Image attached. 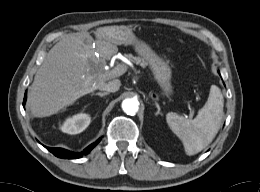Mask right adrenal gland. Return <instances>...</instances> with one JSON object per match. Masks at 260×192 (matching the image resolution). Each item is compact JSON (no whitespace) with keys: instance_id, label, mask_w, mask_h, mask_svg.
I'll use <instances>...</instances> for the list:
<instances>
[{"instance_id":"1","label":"right adrenal gland","mask_w":260,"mask_h":192,"mask_svg":"<svg viewBox=\"0 0 260 192\" xmlns=\"http://www.w3.org/2000/svg\"><path fill=\"white\" fill-rule=\"evenodd\" d=\"M91 95H97L100 97H104V96L108 95V93L107 92H97V93H92Z\"/></svg>"}]
</instances>
